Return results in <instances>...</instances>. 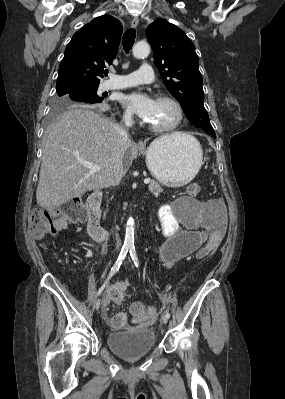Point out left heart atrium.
I'll use <instances>...</instances> for the list:
<instances>
[{
	"mask_svg": "<svg viewBox=\"0 0 285 399\" xmlns=\"http://www.w3.org/2000/svg\"><path fill=\"white\" fill-rule=\"evenodd\" d=\"M122 101L145 121L151 119L156 105V100L154 98L140 91L124 95Z\"/></svg>",
	"mask_w": 285,
	"mask_h": 399,
	"instance_id": "left-heart-atrium-1",
	"label": "left heart atrium"
}]
</instances>
